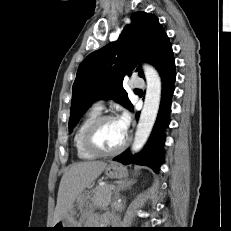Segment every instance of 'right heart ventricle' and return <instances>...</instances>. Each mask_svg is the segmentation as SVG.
<instances>
[{
    "label": "right heart ventricle",
    "mask_w": 231,
    "mask_h": 231,
    "mask_svg": "<svg viewBox=\"0 0 231 231\" xmlns=\"http://www.w3.org/2000/svg\"><path fill=\"white\" fill-rule=\"evenodd\" d=\"M98 116H100V111L92 108L85 114V116L76 127L73 136V145L77 157L81 160H92L96 157V155L92 154L85 148L83 139L86 129Z\"/></svg>",
    "instance_id": "right-heart-ventricle-1"
}]
</instances>
